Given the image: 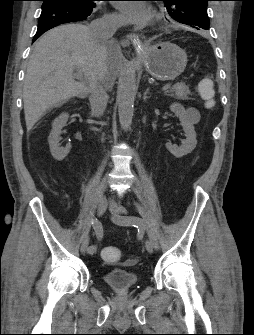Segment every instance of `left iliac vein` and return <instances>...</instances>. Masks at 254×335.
<instances>
[{
    "instance_id": "left-iliac-vein-1",
    "label": "left iliac vein",
    "mask_w": 254,
    "mask_h": 335,
    "mask_svg": "<svg viewBox=\"0 0 254 335\" xmlns=\"http://www.w3.org/2000/svg\"><path fill=\"white\" fill-rule=\"evenodd\" d=\"M109 209L112 214V221L114 223L125 226L131 225L130 223L122 221L120 219L123 216V214H125V210L121 206L117 205L115 202H111L109 205ZM145 247L149 253H153L154 247L150 240H146Z\"/></svg>"
}]
</instances>
